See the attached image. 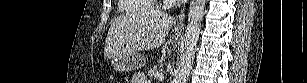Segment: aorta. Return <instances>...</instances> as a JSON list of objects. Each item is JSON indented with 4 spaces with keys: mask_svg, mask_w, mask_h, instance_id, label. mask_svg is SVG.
<instances>
[{
    "mask_svg": "<svg viewBox=\"0 0 307 83\" xmlns=\"http://www.w3.org/2000/svg\"><path fill=\"white\" fill-rule=\"evenodd\" d=\"M205 0H191L185 32V48L175 77V83H186L193 66L204 15Z\"/></svg>",
    "mask_w": 307,
    "mask_h": 83,
    "instance_id": "obj_1",
    "label": "aorta"
}]
</instances>
